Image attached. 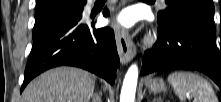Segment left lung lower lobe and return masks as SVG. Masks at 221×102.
Here are the masks:
<instances>
[{
  "mask_svg": "<svg viewBox=\"0 0 221 102\" xmlns=\"http://www.w3.org/2000/svg\"><path fill=\"white\" fill-rule=\"evenodd\" d=\"M215 28L186 14L158 21V40L143 57L141 74L187 69L207 74L221 89V47Z\"/></svg>",
  "mask_w": 221,
  "mask_h": 102,
  "instance_id": "0a47b994",
  "label": "left lung lower lobe"
}]
</instances>
